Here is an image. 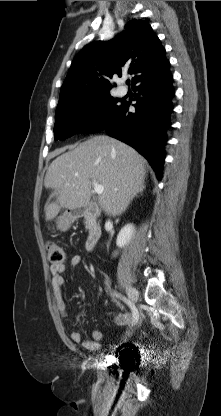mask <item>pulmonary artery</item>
Wrapping results in <instances>:
<instances>
[{
  "instance_id": "1",
  "label": "pulmonary artery",
  "mask_w": 221,
  "mask_h": 416,
  "mask_svg": "<svg viewBox=\"0 0 221 416\" xmlns=\"http://www.w3.org/2000/svg\"><path fill=\"white\" fill-rule=\"evenodd\" d=\"M120 93H121V95H124V94H126V91L122 90Z\"/></svg>"
}]
</instances>
